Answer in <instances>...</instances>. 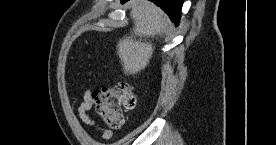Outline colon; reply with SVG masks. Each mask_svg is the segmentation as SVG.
Here are the masks:
<instances>
[{"instance_id": "5ec220e1", "label": "colon", "mask_w": 276, "mask_h": 145, "mask_svg": "<svg viewBox=\"0 0 276 145\" xmlns=\"http://www.w3.org/2000/svg\"><path fill=\"white\" fill-rule=\"evenodd\" d=\"M92 101L98 118L110 128H121L128 112L137 105V95L127 83L101 87L92 92Z\"/></svg>"}]
</instances>
